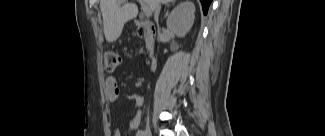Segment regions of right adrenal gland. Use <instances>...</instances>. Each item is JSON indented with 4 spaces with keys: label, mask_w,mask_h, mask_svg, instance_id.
I'll return each mask as SVG.
<instances>
[{
    "label": "right adrenal gland",
    "mask_w": 325,
    "mask_h": 136,
    "mask_svg": "<svg viewBox=\"0 0 325 136\" xmlns=\"http://www.w3.org/2000/svg\"><path fill=\"white\" fill-rule=\"evenodd\" d=\"M168 5H166V7H167ZM168 15V13H166V15H165V17Z\"/></svg>",
    "instance_id": "obj_1"
}]
</instances>
